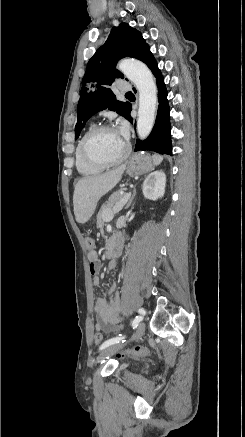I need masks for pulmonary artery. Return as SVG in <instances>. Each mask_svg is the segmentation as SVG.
<instances>
[{
  "mask_svg": "<svg viewBox=\"0 0 245 437\" xmlns=\"http://www.w3.org/2000/svg\"><path fill=\"white\" fill-rule=\"evenodd\" d=\"M118 89L121 92H127L131 90V85L128 82L121 81L118 85Z\"/></svg>",
  "mask_w": 245,
  "mask_h": 437,
  "instance_id": "1",
  "label": "pulmonary artery"
}]
</instances>
